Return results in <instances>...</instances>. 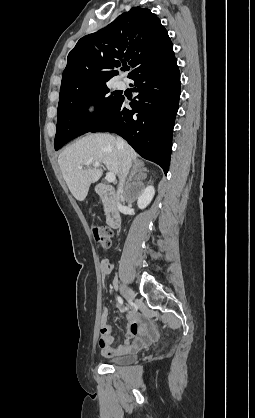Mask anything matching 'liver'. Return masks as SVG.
<instances>
[{
	"label": "liver",
	"mask_w": 255,
	"mask_h": 418,
	"mask_svg": "<svg viewBox=\"0 0 255 418\" xmlns=\"http://www.w3.org/2000/svg\"><path fill=\"white\" fill-rule=\"evenodd\" d=\"M128 151L131 161L135 165H140L137 153L130 146ZM95 163H103L109 172L121 178L120 151L113 135L106 133L86 135L67 147L58 157L63 178L78 201L86 198L91 183L97 182L102 176L101 169L90 167ZM85 166L87 168L83 169Z\"/></svg>",
	"instance_id": "6515ba94"
}]
</instances>
